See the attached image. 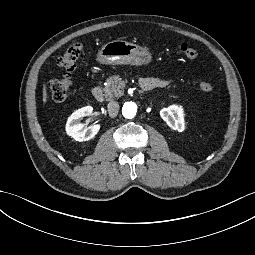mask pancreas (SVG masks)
Here are the masks:
<instances>
[{
	"instance_id": "1",
	"label": "pancreas",
	"mask_w": 255,
	"mask_h": 255,
	"mask_svg": "<svg viewBox=\"0 0 255 255\" xmlns=\"http://www.w3.org/2000/svg\"><path fill=\"white\" fill-rule=\"evenodd\" d=\"M121 78L119 75H113L106 80L103 88L104 96L107 100L119 98L124 95V87L119 85Z\"/></svg>"
}]
</instances>
